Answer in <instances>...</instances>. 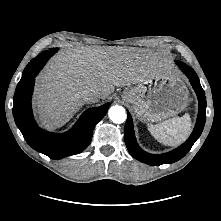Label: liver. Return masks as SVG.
<instances>
[{
  "label": "liver",
  "mask_w": 221,
  "mask_h": 221,
  "mask_svg": "<svg viewBox=\"0 0 221 221\" xmlns=\"http://www.w3.org/2000/svg\"><path fill=\"white\" fill-rule=\"evenodd\" d=\"M167 64L156 54L127 47H81L56 55L39 75L35 108L43 125L54 129L67 123L85 104L84 91L106 99L115 87L139 84Z\"/></svg>",
  "instance_id": "1"
}]
</instances>
